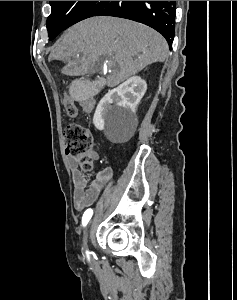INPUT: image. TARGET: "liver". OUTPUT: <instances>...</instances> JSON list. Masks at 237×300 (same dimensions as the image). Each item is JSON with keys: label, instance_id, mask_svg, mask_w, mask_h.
Returning a JSON list of instances; mask_svg holds the SVG:
<instances>
[{"label": "liver", "instance_id": "6515ba94", "mask_svg": "<svg viewBox=\"0 0 237 300\" xmlns=\"http://www.w3.org/2000/svg\"><path fill=\"white\" fill-rule=\"evenodd\" d=\"M49 61H68L63 75H86L95 63L111 71L105 85L116 87L151 63H163L168 45L157 31L117 17H91L70 27Z\"/></svg>", "mask_w": 237, "mask_h": 300}]
</instances>
